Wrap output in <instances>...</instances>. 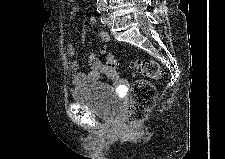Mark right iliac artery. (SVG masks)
<instances>
[{
  "label": "right iliac artery",
  "mask_w": 225,
  "mask_h": 159,
  "mask_svg": "<svg viewBox=\"0 0 225 159\" xmlns=\"http://www.w3.org/2000/svg\"><path fill=\"white\" fill-rule=\"evenodd\" d=\"M106 8L105 7H102V6H99L98 8H97V11L99 12V13H101L103 10H105Z\"/></svg>",
  "instance_id": "82829eb1"
}]
</instances>
